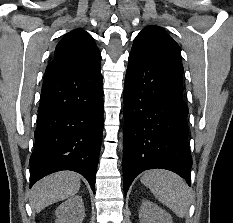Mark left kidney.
<instances>
[{
	"mask_svg": "<svg viewBox=\"0 0 233 223\" xmlns=\"http://www.w3.org/2000/svg\"><path fill=\"white\" fill-rule=\"evenodd\" d=\"M139 219L140 223H172L170 213L150 199H141Z\"/></svg>",
	"mask_w": 233,
	"mask_h": 223,
	"instance_id": "1",
	"label": "left kidney"
}]
</instances>
